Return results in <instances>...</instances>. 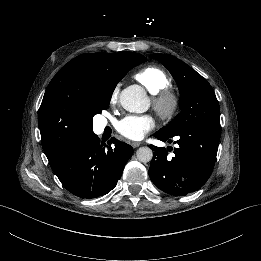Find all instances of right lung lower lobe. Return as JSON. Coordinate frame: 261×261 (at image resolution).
Returning <instances> with one entry per match:
<instances>
[{
	"mask_svg": "<svg viewBox=\"0 0 261 261\" xmlns=\"http://www.w3.org/2000/svg\"><path fill=\"white\" fill-rule=\"evenodd\" d=\"M132 154L130 145L115 138L105 145L92 133L64 148L49 162L70 193L92 199L109 193L116 186Z\"/></svg>",
	"mask_w": 261,
	"mask_h": 261,
	"instance_id": "right-lung-lower-lobe-1",
	"label": "right lung lower lobe"
}]
</instances>
